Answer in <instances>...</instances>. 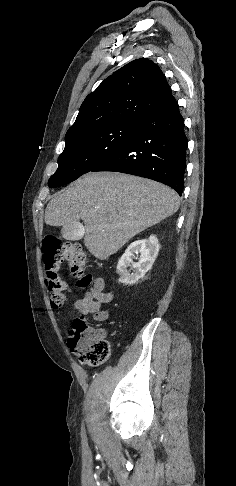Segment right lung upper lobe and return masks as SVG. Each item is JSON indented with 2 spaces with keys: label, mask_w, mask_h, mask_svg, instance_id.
Instances as JSON below:
<instances>
[{
  "label": "right lung upper lobe",
  "mask_w": 236,
  "mask_h": 486,
  "mask_svg": "<svg viewBox=\"0 0 236 486\" xmlns=\"http://www.w3.org/2000/svg\"><path fill=\"white\" fill-rule=\"evenodd\" d=\"M176 103L160 68L151 60L136 59L87 95L65 138L115 124L137 123L149 113Z\"/></svg>",
  "instance_id": "right-lung-upper-lobe-1"
}]
</instances>
